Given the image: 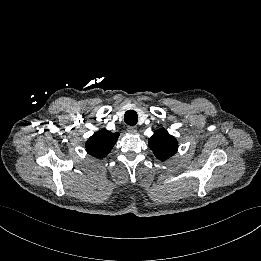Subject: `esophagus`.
<instances>
[{"label": "esophagus", "mask_w": 261, "mask_h": 261, "mask_svg": "<svg viewBox=\"0 0 261 261\" xmlns=\"http://www.w3.org/2000/svg\"><path fill=\"white\" fill-rule=\"evenodd\" d=\"M127 132L130 134H136L137 133V127L136 126H127Z\"/></svg>", "instance_id": "obj_1"}]
</instances>
